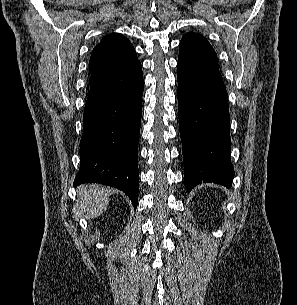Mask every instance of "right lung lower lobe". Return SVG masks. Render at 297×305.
Segmentation results:
<instances>
[{"mask_svg":"<svg viewBox=\"0 0 297 305\" xmlns=\"http://www.w3.org/2000/svg\"><path fill=\"white\" fill-rule=\"evenodd\" d=\"M142 95L140 61L122 75L90 87L74 186L88 182L112 186L125 192L137 207Z\"/></svg>","mask_w":297,"mask_h":305,"instance_id":"1","label":"right lung lower lobe"}]
</instances>
